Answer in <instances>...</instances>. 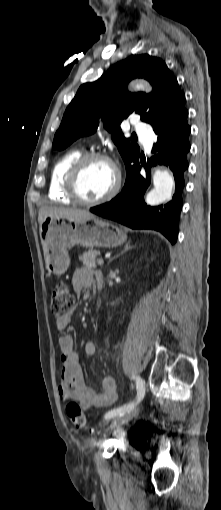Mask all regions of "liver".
Listing matches in <instances>:
<instances>
[{"instance_id": "6515ba94", "label": "liver", "mask_w": 221, "mask_h": 510, "mask_svg": "<svg viewBox=\"0 0 221 510\" xmlns=\"http://www.w3.org/2000/svg\"><path fill=\"white\" fill-rule=\"evenodd\" d=\"M48 216H60L69 220L94 218V215L87 210L45 206L39 210L38 222L41 225L44 218Z\"/></svg>"}]
</instances>
